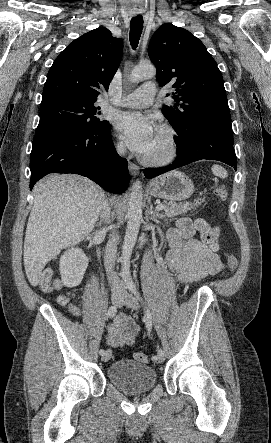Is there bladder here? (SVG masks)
Segmentation results:
<instances>
[{
	"mask_svg": "<svg viewBox=\"0 0 271 443\" xmlns=\"http://www.w3.org/2000/svg\"><path fill=\"white\" fill-rule=\"evenodd\" d=\"M108 379L127 394L151 391L157 383L155 370L147 364L130 359H118L107 370Z\"/></svg>",
	"mask_w": 271,
	"mask_h": 443,
	"instance_id": "obj_1",
	"label": "bladder"
}]
</instances>
